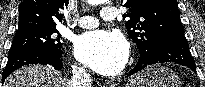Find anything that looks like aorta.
Returning a JSON list of instances; mask_svg holds the SVG:
<instances>
[{"label": "aorta", "mask_w": 205, "mask_h": 87, "mask_svg": "<svg viewBox=\"0 0 205 87\" xmlns=\"http://www.w3.org/2000/svg\"><path fill=\"white\" fill-rule=\"evenodd\" d=\"M87 2L90 5H99V4H103L105 0H87Z\"/></svg>", "instance_id": "obj_1"}]
</instances>
